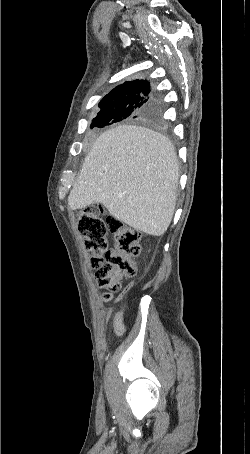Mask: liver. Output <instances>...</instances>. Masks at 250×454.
I'll list each match as a JSON object with an SVG mask.
<instances>
[{"instance_id": "obj_1", "label": "liver", "mask_w": 250, "mask_h": 454, "mask_svg": "<svg viewBox=\"0 0 250 454\" xmlns=\"http://www.w3.org/2000/svg\"><path fill=\"white\" fill-rule=\"evenodd\" d=\"M179 166L164 135L134 125L105 131L94 142L68 196L72 210L103 204L116 219L161 236L174 215Z\"/></svg>"}]
</instances>
